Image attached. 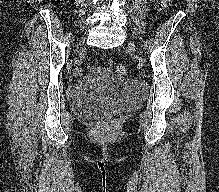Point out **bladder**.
<instances>
[{
  "label": "bladder",
  "instance_id": "31cf9c89",
  "mask_svg": "<svg viewBox=\"0 0 219 192\" xmlns=\"http://www.w3.org/2000/svg\"><path fill=\"white\" fill-rule=\"evenodd\" d=\"M144 94L141 83L107 74L92 82L82 80L71 85L68 102L78 114L102 119L129 108L139 102Z\"/></svg>",
  "mask_w": 219,
  "mask_h": 192
}]
</instances>
